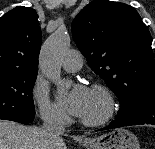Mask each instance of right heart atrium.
<instances>
[{
  "mask_svg": "<svg viewBox=\"0 0 155 149\" xmlns=\"http://www.w3.org/2000/svg\"><path fill=\"white\" fill-rule=\"evenodd\" d=\"M32 93L40 115L45 122L55 125H64L67 123V113L60 105L50 100L45 84L39 80L36 81Z\"/></svg>",
  "mask_w": 155,
  "mask_h": 149,
  "instance_id": "right-heart-atrium-1",
  "label": "right heart atrium"
}]
</instances>
